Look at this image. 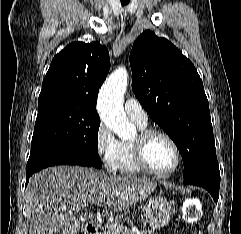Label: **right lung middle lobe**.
<instances>
[{
    "instance_id": "right-lung-middle-lobe-1",
    "label": "right lung middle lobe",
    "mask_w": 241,
    "mask_h": 234,
    "mask_svg": "<svg viewBox=\"0 0 241 234\" xmlns=\"http://www.w3.org/2000/svg\"><path fill=\"white\" fill-rule=\"evenodd\" d=\"M97 113L68 105L38 107L32 137L31 155L40 151L61 148L69 150L96 168H101L98 155Z\"/></svg>"
}]
</instances>
